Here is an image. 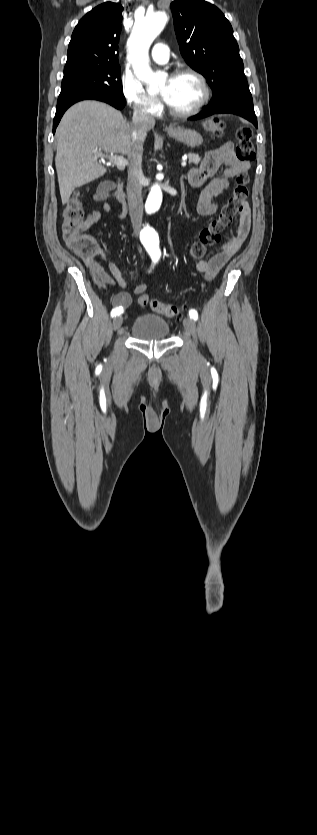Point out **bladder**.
<instances>
[{
	"instance_id": "1",
	"label": "bladder",
	"mask_w": 317,
	"mask_h": 835,
	"mask_svg": "<svg viewBox=\"0 0 317 835\" xmlns=\"http://www.w3.org/2000/svg\"><path fill=\"white\" fill-rule=\"evenodd\" d=\"M170 333L171 328L169 322L155 314L140 315L134 320L131 326L132 336L143 341L164 340L169 338Z\"/></svg>"
}]
</instances>
